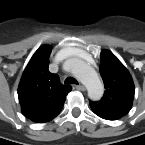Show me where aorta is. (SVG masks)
I'll return each instance as SVG.
<instances>
[{
    "instance_id": "1",
    "label": "aorta",
    "mask_w": 145,
    "mask_h": 145,
    "mask_svg": "<svg viewBox=\"0 0 145 145\" xmlns=\"http://www.w3.org/2000/svg\"><path fill=\"white\" fill-rule=\"evenodd\" d=\"M71 71L86 86L90 99L99 100L103 96V83L93 67L84 61L73 59L71 61Z\"/></svg>"
}]
</instances>
